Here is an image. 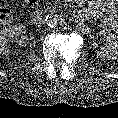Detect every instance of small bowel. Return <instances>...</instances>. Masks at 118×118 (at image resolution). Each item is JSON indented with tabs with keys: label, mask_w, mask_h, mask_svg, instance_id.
<instances>
[{
	"label": "small bowel",
	"mask_w": 118,
	"mask_h": 118,
	"mask_svg": "<svg viewBox=\"0 0 118 118\" xmlns=\"http://www.w3.org/2000/svg\"><path fill=\"white\" fill-rule=\"evenodd\" d=\"M104 12L107 15V20L112 23V29L118 33V16L117 10L112 6L107 4Z\"/></svg>",
	"instance_id": "small-bowel-1"
}]
</instances>
